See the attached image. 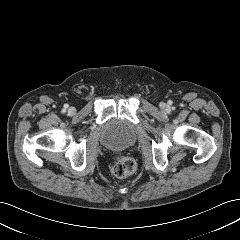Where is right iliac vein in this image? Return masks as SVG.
I'll use <instances>...</instances> for the list:
<instances>
[{
	"label": "right iliac vein",
	"instance_id": "obj_1",
	"mask_svg": "<svg viewBox=\"0 0 240 240\" xmlns=\"http://www.w3.org/2000/svg\"><path fill=\"white\" fill-rule=\"evenodd\" d=\"M75 108L74 107H70L69 109H68V112L70 113V114H74L75 113Z\"/></svg>",
	"mask_w": 240,
	"mask_h": 240
}]
</instances>
